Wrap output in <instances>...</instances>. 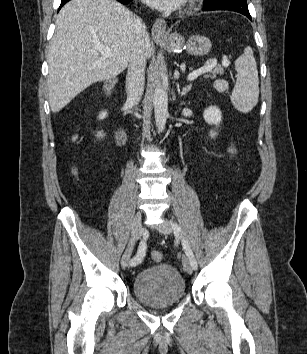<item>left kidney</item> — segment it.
<instances>
[{
	"mask_svg": "<svg viewBox=\"0 0 307 354\" xmlns=\"http://www.w3.org/2000/svg\"><path fill=\"white\" fill-rule=\"evenodd\" d=\"M203 117H204L205 121L210 125L218 126L220 124V122L222 121L221 111L216 106H210V107L206 108L203 113ZM216 135H217L216 132L210 131L211 138H214Z\"/></svg>",
	"mask_w": 307,
	"mask_h": 354,
	"instance_id": "left-kidney-1",
	"label": "left kidney"
}]
</instances>
